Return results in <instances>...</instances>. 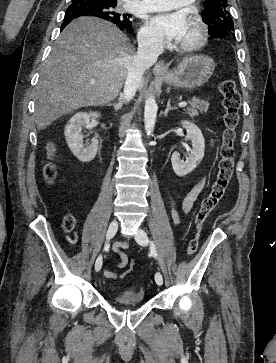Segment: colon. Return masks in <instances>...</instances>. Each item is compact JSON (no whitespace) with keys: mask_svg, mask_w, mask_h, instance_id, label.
Returning a JSON list of instances; mask_svg holds the SVG:
<instances>
[{"mask_svg":"<svg viewBox=\"0 0 276 363\" xmlns=\"http://www.w3.org/2000/svg\"><path fill=\"white\" fill-rule=\"evenodd\" d=\"M219 92L223 98L225 113L223 116L224 129L221 134L220 159L216 179L210 192L203 198L200 207L194 216V234L188 242L187 254L193 255L198 249V234L207 218L225 194L226 188L232 178L235 160L236 128L239 123V108L241 95L233 80H223L219 85ZM47 180L52 181L56 176V167L49 163L44 168ZM75 227V219L66 215L63 219V228L70 232ZM134 261H129V268H133Z\"/></svg>","mask_w":276,"mask_h":363,"instance_id":"obj_1","label":"colon"}]
</instances>
